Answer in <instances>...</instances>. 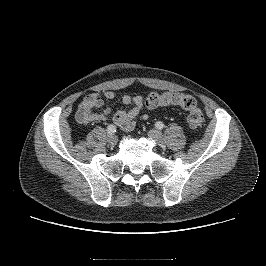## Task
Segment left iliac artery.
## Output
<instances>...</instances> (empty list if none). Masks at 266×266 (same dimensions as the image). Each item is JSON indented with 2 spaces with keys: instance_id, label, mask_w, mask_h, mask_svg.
Masks as SVG:
<instances>
[{
  "instance_id": "left-iliac-artery-1",
  "label": "left iliac artery",
  "mask_w": 266,
  "mask_h": 266,
  "mask_svg": "<svg viewBox=\"0 0 266 266\" xmlns=\"http://www.w3.org/2000/svg\"><path fill=\"white\" fill-rule=\"evenodd\" d=\"M155 126L160 130L164 128V124L161 121L156 122Z\"/></svg>"
}]
</instances>
